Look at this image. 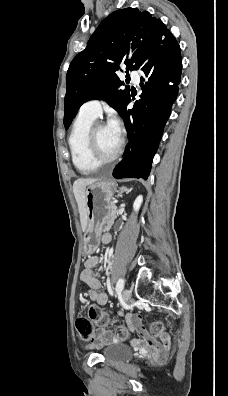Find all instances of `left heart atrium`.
I'll list each match as a JSON object with an SVG mask.
<instances>
[{
	"label": "left heart atrium",
	"instance_id": "obj_1",
	"mask_svg": "<svg viewBox=\"0 0 228 396\" xmlns=\"http://www.w3.org/2000/svg\"><path fill=\"white\" fill-rule=\"evenodd\" d=\"M107 126L111 129V131L118 137H120V125L119 121L115 118L112 117L109 121Z\"/></svg>",
	"mask_w": 228,
	"mask_h": 396
}]
</instances>
